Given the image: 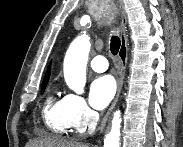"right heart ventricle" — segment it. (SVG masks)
<instances>
[{"instance_id":"1","label":"right heart ventricle","mask_w":183,"mask_h":147,"mask_svg":"<svg viewBox=\"0 0 183 147\" xmlns=\"http://www.w3.org/2000/svg\"><path fill=\"white\" fill-rule=\"evenodd\" d=\"M42 114L46 127L55 134H64L71 127L67 117L66 97L48 96Z\"/></svg>"}]
</instances>
